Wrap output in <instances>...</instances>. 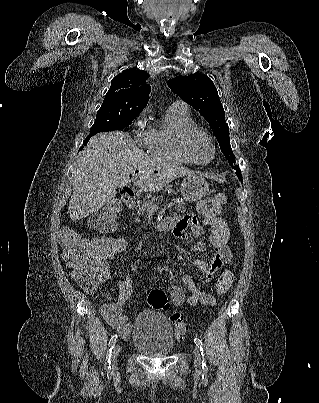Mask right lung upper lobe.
<instances>
[{
  "mask_svg": "<svg viewBox=\"0 0 319 403\" xmlns=\"http://www.w3.org/2000/svg\"><path fill=\"white\" fill-rule=\"evenodd\" d=\"M149 78L146 71L127 69L111 81L109 91L103 104H119L143 110L148 103L150 85L145 84Z\"/></svg>",
  "mask_w": 319,
  "mask_h": 403,
  "instance_id": "obj_1",
  "label": "right lung upper lobe"
}]
</instances>
